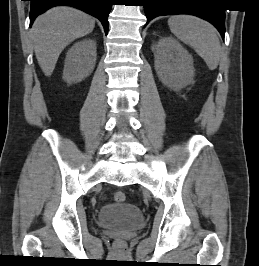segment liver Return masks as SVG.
I'll return each instance as SVG.
<instances>
[{
  "instance_id": "1",
  "label": "liver",
  "mask_w": 259,
  "mask_h": 266,
  "mask_svg": "<svg viewBox=\"0 0 259 266\" xmlns=\"http://www.w3.org/2000/svg\"><path fill=\"white\" fill-rule=\"evenodd\" d=\"M94 27V18L71 7H55L37 17L30 37L43 73L50 76L64 48L91 33Z\"/></svg>"
}]
</instances>
